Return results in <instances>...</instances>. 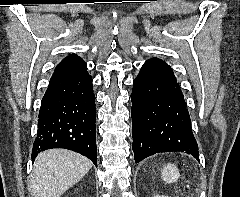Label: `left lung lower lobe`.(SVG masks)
Masks as SVG:
<instances>
[{
  "label": "left lung lower lobe",
  "instance_id": "0a47b994",
  "mask_svg": "<svg viewBox=\"0 0 240 197\" xmlns=\"http://www.w3.org/2000/svg\"><path fill=\"white\" fill-rule=\"evenodd\" d=\"M132 136L135 162L160 152H185L199 160L183 93L172 69L141 68L133 82Z\"/></svg>",
  "mask_w": 240,
  "mask_h": 197
}]
</instances>
